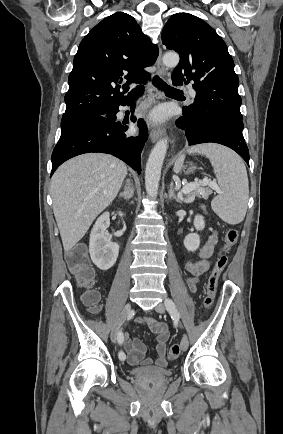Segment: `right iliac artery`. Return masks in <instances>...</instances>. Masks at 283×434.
Segmentation results:
<instances>
[{
	"mask_svg": "<svg viewBox=\"0 0 283 434\" xmlns=\"http://www.w3.org/2000/svg\"><path fill=\"white\" fill-rule=\"evenodd\" d=\"M117 339H118V343L121 344V342L123 340V333L122 332H119ZM118 357L120 360H125V358H126V356L122 352H119Z\"/></svg>",
	"mask_w": 283,
	"mask_h": 434,
	"instance_id": "obj_1",
	"label": "right iliac artery"
}]
</instances>
